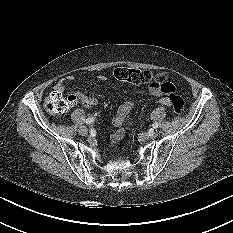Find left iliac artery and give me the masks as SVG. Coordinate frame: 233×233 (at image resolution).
Here are the masks:
<instances>
[{
  "label": "left iliac artery",
  "mask_w": 233,
  "mask_h": 233,
  "mask_svg": "<svg viewBox=\"0 0 233 233\" xmlns=\"http://www.w3.org/2000/svg\"><path fill=\"white\" fill-rule=\"evenodd\" d=\"M152 126H153L154 129H156L158 127V123L155 122V123L152 124Z\"/></svg>",
  "instance_id": "44dca946"
}]
</instances>
